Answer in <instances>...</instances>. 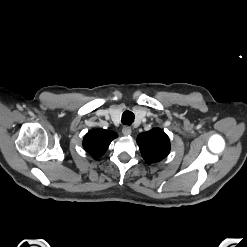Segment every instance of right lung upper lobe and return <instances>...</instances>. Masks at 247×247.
Wrapping results in <instances>:
<instances>
[{
	"instance_id": "right-lung-upper-lobe-1",
	"label": "right lung upper lobe",
	"mask_w": 247,
	"mask_h": 247,
	"mask_svg": "<svg viewBox=\"0 0 247 247\" xmlns=\"http://www.w3.org/2000/svg\"><path fill=\"white\" fill-rule=\"evenodd\" d=\"M117 136L113 131L91 130L83 139V147L94 158H98L105 153L111 141Z\"/></svg>"
}]
</instances>
